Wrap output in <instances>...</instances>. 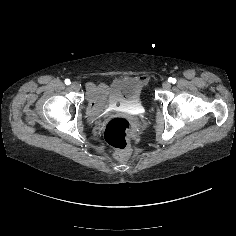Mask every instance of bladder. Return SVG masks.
I'll return each mask as SVG.
<instances>
[{
  "mask_svg": "<svg viewBox=\"0 0 236 236\" xmlns=\"http://www.w3.org/2000/svg\"><path fill=\"white\" fill-rule=\"evenodd\" d=\"M145 90L142 79L134 76H119L107 86L106 99L121 105L136 104Z\"/></svg>",
  "mask_w": 236,
  "mask_h": 236,
  "instance_id": "obj_1",
  "label": "bladder"
}]
</instances>
